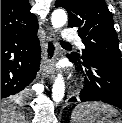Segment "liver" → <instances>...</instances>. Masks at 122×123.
<instances>
[{
    "label": "liver",
    "mask_w": 122,
    "mask_h": 123,
    "mask_svg": "<svg viewBox=\"0 0 122 123\" xmlns=\"http://www.w3.org/2000/svg\"><path fill=\"white\" fill-rule=\"evenodd\" d=\"M1 123H26V120L14 106L1 103Z\"/></svg>",
    "instance_id": "1"
}]
</instances>
